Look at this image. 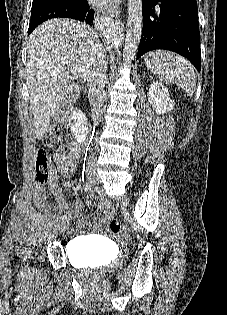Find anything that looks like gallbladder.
Segmentation results:
<instances>
[{
  "label": "gallbladder",
  "instance_id": "gallbladder-1",
  "mask_svg": "<svg viewBox=\"0 0 227 315\" xmlns=\"http://www.w3.org/2000/svg\"><path fill=\"white\" fill-rule=\"evenodd\" d=\"M68 108H64L62 111H60L59 113H57L55 116H53V120L57 123H61L64 121L65 117H66V110Z\"/></svg>",
  "mask_w": 227,
  "mask_h": 315
}]
</instances>
